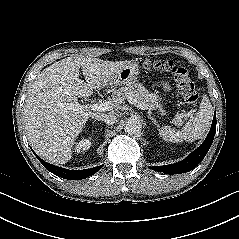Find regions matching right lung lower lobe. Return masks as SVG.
Segmentation results:
<instances>
[{
    "label": "right lung lower lobe",
    "mask_w": 239,
    "mask_h": 239,
    "mask_svg": "<svg viewBox=\"0 0 239 239\" xmlns=\"http://www.w3.org/2000/svg\"><path fill=\"white\" fill-rule=\"evenodd\" d=\"M35 156L38 158V160L43 164V166L48 171H50L51 173H53L59 177H62L64 179H68V180H80V179L87 178V177L95 174L98 170H100L103 167V165H100V166L90 168V169H85V170H67V169H64V168H61V167H58V166H55V165L45 162L40 157H38L36 154H35Z\"/></svg>",
    "instance_id": "right-lung-lower-lobe-1"
}]
</instances>
